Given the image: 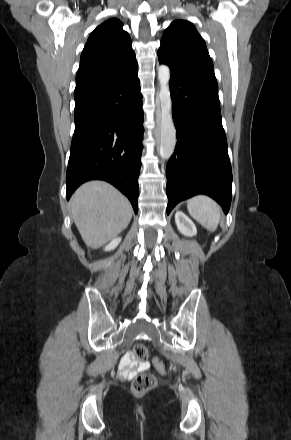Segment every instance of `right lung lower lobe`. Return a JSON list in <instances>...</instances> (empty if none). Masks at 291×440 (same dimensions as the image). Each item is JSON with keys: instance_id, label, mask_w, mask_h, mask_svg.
Listing matches in <instances>:
<instances>
[{"instance_id": "1", "label": "right lung lower lobe", "mask_w": 291, "mask_h": 440, "mask_svg": "<svg viewBox=\"0 0 291 440\" xmlns=\"http://www.w3.org/2000/svg\"><path fill=\"white\" fill-rule=\"evenodd\" d=\"M137 73L138 69L112 81L75 88L67 199L82 183L101 179L125 194L138 213L144 128Z\"/></svg>"}]
</instances>
